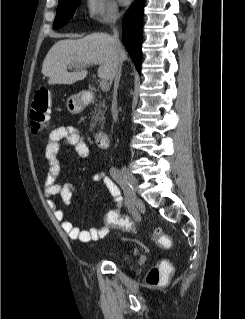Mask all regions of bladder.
Here are the masks:
<instances>
[{"label": "bladder", "mask_w": 245, "mask_h": 319, "mask_svg": "<svg viewBox=\"0 0 245 319\" xmlns=\"http://www.w3.org/2000/svg\"><path fill=\"white\" fill-rule=\"evenodd\" d=\"M106 256H114L121 259H127L128 254L119 246L111 247L105 254Z\"/></svg>", "instance_id": "bladder-1"}]
</instances>
